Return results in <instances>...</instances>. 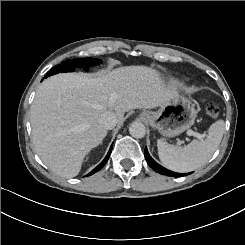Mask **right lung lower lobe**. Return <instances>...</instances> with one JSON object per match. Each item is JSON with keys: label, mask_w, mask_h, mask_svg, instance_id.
<instances>
[{"label": "right lung lower lobe", "mask_w": 245, "mask_h": 245, "mask_svg": "<svg viewBox=\"0 0 245 245\" xmlns=\"http://www.w3.org/2000/svg\"><path fill=\"white\" fill-rule=\"evenodd\" d=\"M112 147L113 146L110 147L109 152L106 155L105 159L96 168H94L88 175H92V174L96 173L97 171H99L106 164V162L108 161V159L110 157V154H111V151H112Z\"/></svg>", "instance_id": "98d812e1"}]
</instances>
